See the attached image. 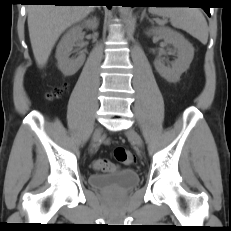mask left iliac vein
Returning a JSON list of instances; mask_svg holds the SVG:
<instances>
[{
	"label": "left iliac vein",
	"mask_w": 231,
	"mask_h": 231,
	"mask_svg": "<svg viewBox=\"0 0 231 231\" xmlns=\"http://www.w3.org/2000/svg\"><path fill=\"white\" fill-rule=\"evenodd\" d=\"M126 136L130 138L138 148H142L143 146L142 138L133 128H129L126 131Z\"/></svg>",
	"instance_id": "left-iliac-vein-1"
}]
</instances>
